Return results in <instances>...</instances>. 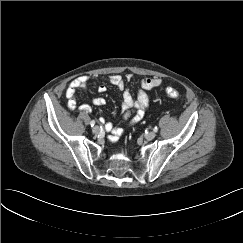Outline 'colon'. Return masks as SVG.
Wrapping results in <instances>:
<instances>
[{
	"label": "colon",
	"mask_w": 243,
	"mask_h": 243,
	"mask_svg": "<svg viewBox=\"0 0 243 243\" xmlns=\"http://www.w3.org/2000/svg\"><path fill=\"white\" fill-rule=\"evenodd\" d=\"M166 93L171 98H178L179 97V92L176 89L171 88V87L166 89Z\"/></svg>",
	"instance_id": "obj_1"
}]
</instances>
